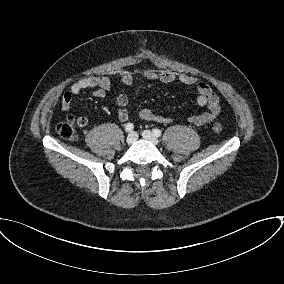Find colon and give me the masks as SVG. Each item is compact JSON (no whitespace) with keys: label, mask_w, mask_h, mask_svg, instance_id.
Masks as SVG:
<instances>
[{"label":"colon","mask_w":284,"mask_h":284,"mask_svg":"<svg viewBox=\"0 0 284 284\" xmlns=\"http://www.w3.org/2000/svg\"><path fill=\"white\" fill-rule=\"evenodd\" d=\"M213 130L216 133L222 132L223 130L222 125L218 122H215L213 124ZM57 132L64 139H67L70 141H74L77 139V129L71 117L66 118L65 121L57 125Z\"/></svg>","instance_id":"colon-1"}]
</instances>
